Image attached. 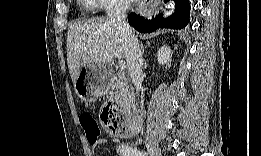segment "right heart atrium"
Returning a JSON list of instances; mask_svg holds the SVG:
<instances>
[{"mask_svg":"<svg viewBox=\"0 0 261 156\" xmlns=\"http://www.w3.org/2000/svg\"><path fill=\"white\" fill-rule=\"evenodd\" d=\"M88 4L94 8H103L106 10L120 5L118 2L107 0H89Z\"/></svg>","mask_w":261,"mask_h":156,"instance_id":"d8ad5b80","label":"right heart atrium"}]
</instances>
